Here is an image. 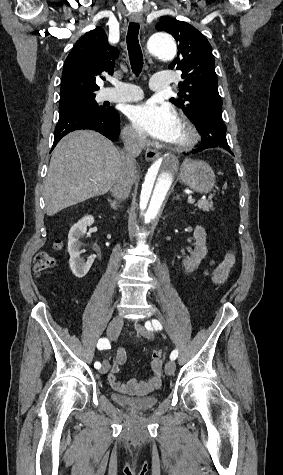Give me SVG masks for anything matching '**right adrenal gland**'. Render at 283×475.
Returning <instances> with one entry per match:
<instances>
[{
  "label": "right adrenal gland",
  "instance_id": "right-adrenal-gland-1",
  "mask_svg": "<svg viewBox=\"0 0 283 475\" xmlns=\"http://www.w3.org/2000/svg\"><path fill=\"white\" fill-rule=\"evenodd\" d=\"M107 202H110V206H111L112 210H117L119 202H112V200H109V198H108Z\"/></svg>",
  "mask_w": 283,
  "mask_h": 475
}]
</instances>
